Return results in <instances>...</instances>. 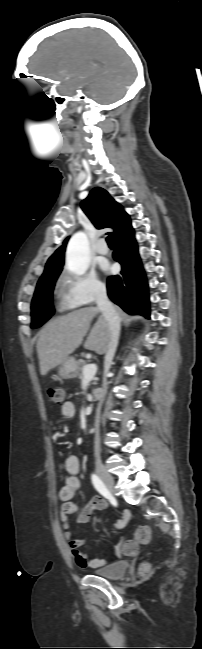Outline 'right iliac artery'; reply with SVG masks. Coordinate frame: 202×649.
I'll list each match as a JSON object with an SVG mask.
<instances>
[{"mask_svg":"<svg viewBox=\"0 0 202 649\" xmlns=\"http://www.w3.org/2000/svg\"><path fill=\"white\" fill-rule=\"evenodd\" d=\"M91 479L95 489L105 498H108L110 493L102 480L96 474H92Z\"/></svg>","mask_w":202,"mask_h":649,"instance_id":"1","label":"right iliac artery"}]
</instances>
